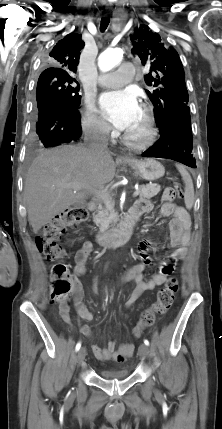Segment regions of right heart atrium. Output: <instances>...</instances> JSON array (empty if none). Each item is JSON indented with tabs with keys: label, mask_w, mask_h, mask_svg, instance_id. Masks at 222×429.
<instances>
[{
	"label": "right heart atrium",
	"mask_w": 222,
	"mask_h": 429,
	"mask_svg": "<svg viewBox=\"0 0 222 429\" xmlns=\"http://www.w3.org/2000/svg\"><path fill=\"white\" fill-rule=\"evenodd\" d=\"M84 129L93 135H105L109 126L101 117L91 100H87L82 119Z\"/></svg>",
	"instance_id": "obj_1"
}]
</instances>
